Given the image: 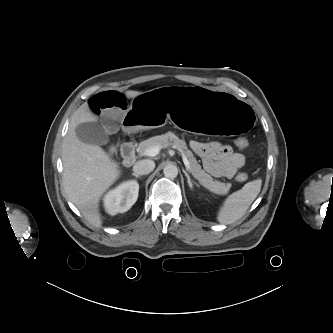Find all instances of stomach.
I'll use <instances>...</instances> for the list:
<instances>
[{"mask_svg": "<svg viewBox=\"0 0 333 333\" xmlns=\"http://www.w3.org/2000/svg\"><path fill=\"white\" fill-rule=\"evenodd\" d=\"M128 114L124 127L133 132L174 122L190 133L243 138L255 126L254 112L246 102L188 86L141 93L133 98Z\"/></svg>", "mask_w": 333, "mask_h": 333, "instance_id": "0dacf381", "label": "stomach"}]
</instances>
